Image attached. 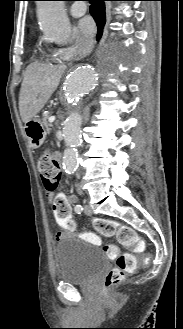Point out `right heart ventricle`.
Segmentation results:
<instances>
[{"instance_id":"right-heart-ventricle-1","label":"right heart ventricle","mask_w":183,"mask_h":329,"mask_svg":"<svg viewBox=\"0 0 183 329\" xmlns=\"http://www.w3.org/2000/svg\"><path fill=\"white\" fill-rule=\"evenodd\" d=\"M49 58H55L56 57V54L55 53H49L48 55H47Z\"/></svg>"}]
</instances>
